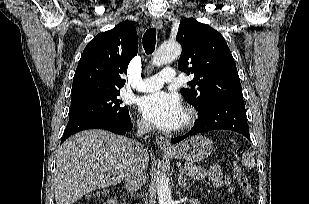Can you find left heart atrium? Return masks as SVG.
<instances>
[{"label": "left heart atrium", "mask_w": 309, "mask_h": 204, "mask_svg": "<svg viewBox=\"0 0 309 204\" xmlns=\"http://www.w3.org/2000/svg\"><path fill=\"white\" fill-rule=\"evenodd\" d=\"M139 107L144 117L161 129L177 128L183 116L179 98L163 91L143 96Z\"/></svg>", "instance_id": "left-heart-atrium-1"}]
</instances>
